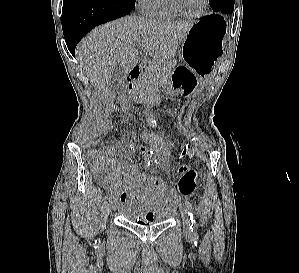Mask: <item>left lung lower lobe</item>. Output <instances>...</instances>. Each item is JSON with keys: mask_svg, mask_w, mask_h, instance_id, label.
I'll return each mask as SVG.
<instances>
[{"mask_svg": "<svg viewBox=\"0 0 299 273\" xmlns=\"http://www.w3.org/2000/svg\"><path fill=\"white\" fill-rule=\"evenodd\" d=\"M233 9H234V6H231V7H225L223 6L219 12H222V13H232L233 12Z\"/></svg>", "mask_w": 299, "mask_h": 273, "instance_id": "1", "label": "left lung lower lobe"}]
</instances>
